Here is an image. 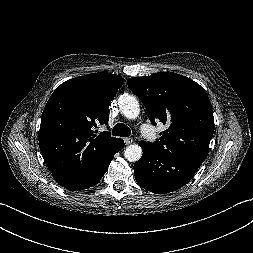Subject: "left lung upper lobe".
I'll return each instance as SVG.
<instances>
[{
	"label": "left lung upper lobe",
	"mask_w": 253,
	"mask_h": 253,
	"mask_svg": "<svg viewBox=\"0 0 253 253\" xmlns=\"http://www.w3.org/2000/svg\"><path fill=\"white\" fill-rule=\"evenodd\" d=\"M130 89L146 106L151 122L167 129L149 143L165 161L179 163L195 158L204 161L214 133V117L205 90L193 80L162 72L127 80Z\"/></svg>",
	"instance_id": "left-lung-upper-lobe-1"
}]
</instances>
